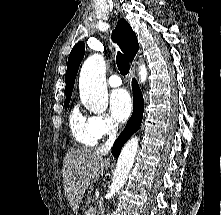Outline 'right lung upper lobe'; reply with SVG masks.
Returning <instances> with one entry per match:
<instances>
[{"label":"right lung upper lobe","mask_w":221,"mask_h":215,"mask_svg":"<svg viewBox=\"0 0 221 215\" xmlns=\"http://www.w3.org/2000/svg\"><path fill=\"white\" fill-rule=\"evenodd\" d=\"M112 39L117 42L126 55L129 61H132L135 54L139 50V44L136 34L125 19L119 20L116 29L112 33ZM85 44L78 42L72 49L67 63V70L65 74V95L66 99H70L75 83V78L78 72L81 60L84 57Z\"/></svg>","instance_id":"cb5924a9"}]
</instances>
